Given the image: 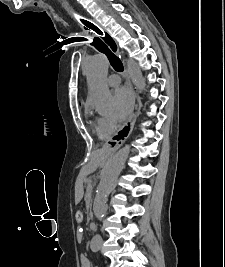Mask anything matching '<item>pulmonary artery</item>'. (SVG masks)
<instances>
[{"label": "pulmonary artery", "mask_w": 225, "mask_h": 267, "mask_svg": "<svg viewBox=\"0 0 225 267\" xmlns=\"http://www.w3.org/2000/svg\"><path fill=\"white\" fill-rule=\"evenodd\" d=\"M107 83L109 86L115 87L120 83V78L116 74H111L107 79Z\"/></svg>", "instance_id": "e3ab8cb5"}]
</instances>
